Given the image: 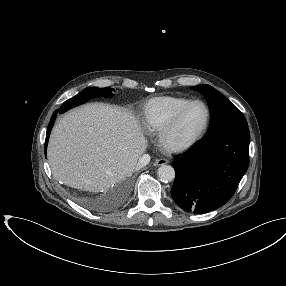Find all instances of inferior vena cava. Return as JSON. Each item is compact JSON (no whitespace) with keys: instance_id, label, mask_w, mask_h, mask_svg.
Listing matches in <instances>:
<instances>
[{"instance_id":"602c4592","label":"inferior vena cava","mask_w":286,"mask_h":286,"mask_svg":"<svg viewBox=\"0 0 286 286\" xmlns=\"http://www.w3.org/2000/svg\"><path fill=\"white\" fill-rule=\"evenodd\" d=\"M150 162V156L148 154L142 155L136 163L137 167L146 166Z\"/></svg>"}]
</instances>
